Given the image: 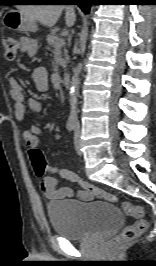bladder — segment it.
<instances>
[{
  "label": "bladder",
  "mask_w": 156,
  "mask_h": 266,
  "mask_svg": "<svg viewBox=\"0 0 156 266\" xmlns=\"http://www.w3.org/2000/svg\"><path fill=\"white\" fill-rule=\"evenodd\" d=\"M47 211L54 232L69 240L106 232L123 221L120 209L104 201L58 200L50 202Z\"/></svg>",
  "instance_id": "bladder-1"
}]
</instances>
